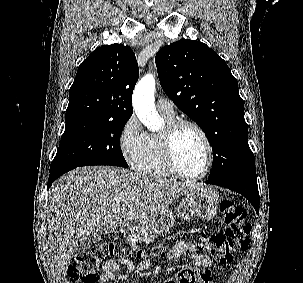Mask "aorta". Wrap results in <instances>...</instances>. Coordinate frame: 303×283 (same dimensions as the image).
Masks as SVG:
<instances>
[{
	"mask_svg": "<svg viewBox=\"0 0 303 283\" xmlns=\"http://www.w3.org/2000/svg\"><path fill=\"white\" fill-rule=\"evenodd\" d=\"M154 94L155 78L147 74L134 89L133 108L140 121L152 132L158 131L163 124L155 108Z\"/></svg>",
	"mask_w": 303,
	"mask_h": 283,
	"instance_id": "aorta-1",
	"label": "aorta"
}]
</instances>
